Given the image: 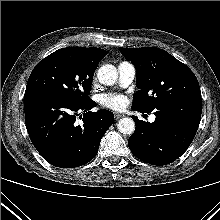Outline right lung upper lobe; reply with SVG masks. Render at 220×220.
Wrapping results in <instances>:
<instances>
[{
  "instance_id": "right-lung-upper-lobe-1",
  "label": "right lung upper lobe",
  "mask_w": 220,
  "mask_h": 220,
  "mask_svg": "<svg viewBox=\"0 0 220 220\" xmlns=\"http://www.w3.org/2000/svg\"><path fill=\"white\" fill-rule=\"evenodd\" d=\"M78 52L84 59L99 64L107 52L100 48L71 47Z\"/></svg>"
}]
</instances>
